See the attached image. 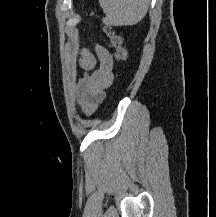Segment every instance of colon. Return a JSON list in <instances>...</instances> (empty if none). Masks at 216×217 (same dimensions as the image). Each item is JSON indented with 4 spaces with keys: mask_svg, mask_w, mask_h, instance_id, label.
<instances>
[{
    "mask_svg": "<svg viewBox=\"0 0 216 217\" xmlns=\"http://www.w3.org/2000/svg\"><path fill=\"white\" fill-rule=\"evenodd\" d=\"M104 31L108 38V43L111 48L114 49V57L118 62H125L128 58V50L125 46V40L122 33L109 26L104 27ZM118 76L121 75V72L118 71Z\"/></svg>",
    "mask_w": 216,
    "mask_h": 217,
    "instance_id": "5ec220e1",
    "label": "colon"
}]
</instances>
